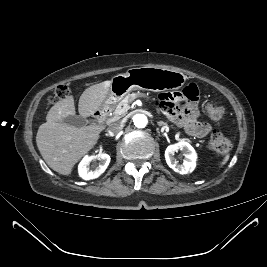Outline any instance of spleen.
Instances as JSON below:
<instances>
[{
  "mask_svg": "<svg viewBox=\"0 0 267 267\" xmlns=\"http://www.w3.org/2000/svg\"><path fill=\"white\" fill-rule=\"evenodd\" d=\"M228 159H229V155H226L220 165L223 166L224 164H226Z\"/></svg>",
  "mask_w": 267,
  "mask_h": 267,
  "instance_id": "1",
  "label": "spleen"
}]
</instances>
